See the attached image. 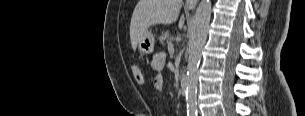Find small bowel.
<instances>
[{"instance_id": "c3829d8e", "label": "small bowel", "mask_w": 305, "mask_h": 116, "mask_svg": "<svg viewBox=\"0 0 305 116\" xmlns=\"http://www.w3.org/2000/svg\"><path fill=\"white\" fill-rule=\"evenodd\" d=\"M164 63L165 56L162 53L156 54L151 60V66L156 72L153 78V84L159 93H162L164 89V81L160 74L161 70L163 69Z\"/></svg>"}]
</instances>
